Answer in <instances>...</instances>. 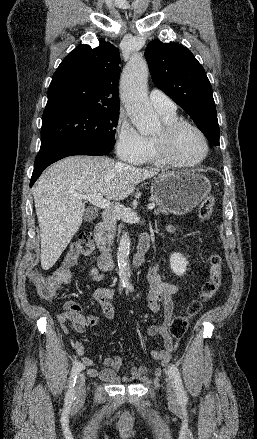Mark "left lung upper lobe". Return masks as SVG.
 Returning a JSON list of instances; mask_svg holds the SVG:
<instances>
[{
	"label": "left lung upper lobe",
	"instance_id": "5c2ea615",
	"mask_svg": "<svg viewBox=\"0 0 257 439\" xmlns=\"http://www.w3.org/2000/svg\"><path fill=\"white\" fill-rule=\"evenodd\" d=\"M145 57L154 84L191 116L211 145L219 146L212 87L191 51L178 43L153 40Z\"/></svg>",
	"mask_w": 257,
	"mask_h": 439
}]
</instances>
